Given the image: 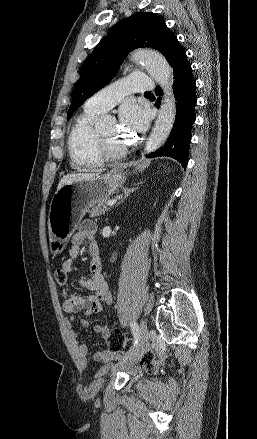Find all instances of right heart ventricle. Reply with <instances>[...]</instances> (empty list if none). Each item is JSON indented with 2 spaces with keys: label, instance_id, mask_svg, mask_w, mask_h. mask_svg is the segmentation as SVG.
<instances>
[{
  "label": "right heart ventricle",
  "instance_id": "e07e8e85",
  "mask_svg": "<svg viewBox=\"0 0 257 439\" xmlns=\"http://www.w3.org/2000/svg\"><path fill=\"white\" fill-rule=\"evenodd\" d=\"M98 113L84 109L69 133L68 150L72 165L78 170L97 168L103 161L97 143L98 132L94 128V119Z\"/></svg>",
  "mask_w": 257,
  "mask_h": 439
}]
</instances>
